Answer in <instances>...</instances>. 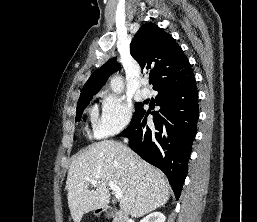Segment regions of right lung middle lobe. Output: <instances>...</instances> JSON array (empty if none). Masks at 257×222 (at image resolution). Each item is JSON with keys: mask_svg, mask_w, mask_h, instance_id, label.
<instances>
[{"mask_svg": "<svg viewBox=\"0 0 257 222\" xmlns=\"http://www.w3.org/2000/svg\"><path fill=\"white\" fill-rule=\"evenodd\" d=\"M92 97L87 98L83 100L80 104L77 105V114H76V121H79L81 119L82 113L86 106L89 104ZM143 111V105L141 103L136 102L135 103V114L132 118L131 123L134 121V119Z\"/></svg>", "mask_w": 257, "mask_h": 222, "instance_id": "obj_1", "label": "right lung middle lobe"}]
</instances>
